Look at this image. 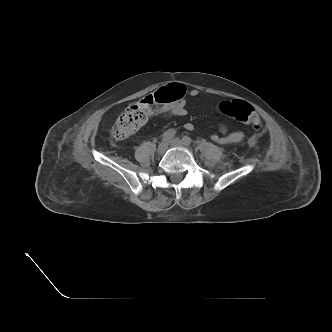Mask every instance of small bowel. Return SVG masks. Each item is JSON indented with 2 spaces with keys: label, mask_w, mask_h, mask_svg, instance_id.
I'll return each instance as SVG.
<instances>
[{
  "label": "small bowel",
  "mask_w": 332,
  "mask_h": 332,
  "mask_svg": "<svg viewBox=\"0 0 332 332\" xmlns=\"http://www.w3.org/2000/svg\"><path fill=\"white\" fill-rule=\"evenodd\" d=\"M189 94L191 97H197L199 95V90L192 89ZM155 113L164 118L185 116L188 113L187 104L185 100H181L176 104L161 107L158 110H156ZM185 129L188 131H193L194 125L192 123H186ZM219 132L220 134L213 133L210 135V138L218 144L222 145L237 144L244 139L243 132L241 131L228 132L227 126L224 123H220Z\"/></svg>",
  "instance_id": "c3829d8e"
}]
</instances>
